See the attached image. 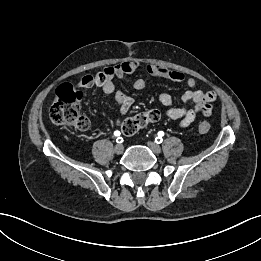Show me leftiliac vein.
I'll use <instances>...</instances> for the list:
<instances>
[{"instance_id": "1", "label": "left iliac vein", "mask_w": 261, "mask_h": 261, "mask_svg": "<svg viewBox=\"0 0 261 261\" xmlns=\"http://www.w3.org/2000/svg\"><path fill=\"white\" fill-rule=\"evenodd\" d=\"M148 147L156 154L161 152V147L154 142H147Z\"/></svg>"}]
</instances>
